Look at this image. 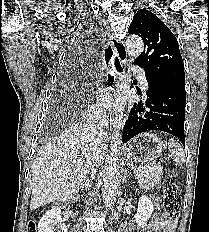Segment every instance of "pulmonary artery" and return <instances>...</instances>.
<instances>
[{"instance_id": "e3ab8cb5", "label": "pulmonary artery", "mask_w": 209, "mask_h": 232, "mask_svg": "<svg viewBox=\"0 0 209 232\" xmlns=\"http://www.w3.org/2000/svg\"><path fill=\"white\" fill-rule=\"evenodd\" d=\"M133 71H134L135 75L139 78V81H140L142 88L144 90H146L148 88V83H147L146 77L144 75V72L139 68H134Z\"/></svg>"}]
</instances>
